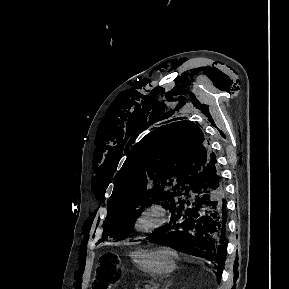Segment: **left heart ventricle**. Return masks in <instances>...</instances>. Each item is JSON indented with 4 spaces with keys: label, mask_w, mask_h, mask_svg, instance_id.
Returning <instances> with one entry per match:
<instances>
[{
    "label": "left heart ventricle",
    "mask_w": 289,
    "mask_h": 289,
    "mask_svg": "<svg viewBox=\"0 0 289 289\" xmlns=\"http://www.w3.org/2000/svg\"><path fill=\"white\" fill-rule=\"evenodd\" d=\"M157 221V216L155 214H149L146 217H144L140 222V227H148Z\"/></svg>",
    "instance_id": "left-heart-ventricle-1"
}]
</instances>
